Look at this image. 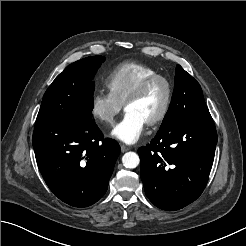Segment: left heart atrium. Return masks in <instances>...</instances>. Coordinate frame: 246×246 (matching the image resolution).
<instances>
[{"label":"left heart atrium","mask_w":246,"mask_h":246,"mask_svg":"<svg viewBox=\"0 0 246 246\" xmlns=\"http://www.w3.org/2000/svg\"><path fill=\"white\" fill-rule=\"evenodd\" d=\"M146 122L135 112L126 111L122 120L114 127L111 134L114 138L133 144L144 132Z\"/></svg>","instance_id":"left-heart-atrium-1"}]
</instances>
